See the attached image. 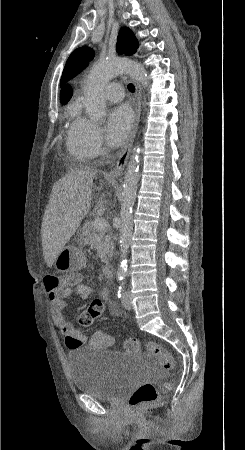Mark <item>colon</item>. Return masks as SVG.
Returning a JSON list of instances; mask_svg holds the SVG:
<instances>
[{
  "label": "colon",
  "instance_id": "5ec220e1",
  "mask_svg": "<svg viewBox=\"0 0 245 450\" xmlns=\"http://www.w3.org/2000/svg\"><path fill=\"white\" fill-rule=\"evenodd\" d=\"M80 276L76 272H72L66 276H48L45 278V289L48 291H58L73 283L79 281ZM103 310V302L100 300L92 301L86 309L80 314L78 322L82 327L91 326L94 321L101 315ZM86 342V336L81 330H77L67 337V344L71 347L81 346ZM143 346L153 356H155L165 370H169L174 365V358L171 353L165 350L162 346L154 342H144ZM138 343L130 338L125 343V349L128 351H135ZM171 383L164 382L161 384V391H168ZM159 391L152 383L141 384L130 396L129 406L134 411L153 404L159 400Z\"/></svg>",
  "mask_w": 245,
  "mask_h": 450
}]
</instances>
